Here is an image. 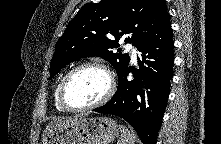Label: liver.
<instances>
[{
	"instance_id": "obj_1",
	"label": "liver",
	"mask_w": 221,
	"mask_h": 144,
	"mask_svg": "<svg viewBox=\"0 0 221 144\" xmlns=\"http://www.w3.org/2000/svg\"><path fill=\"white\" fill-rule=\"evenodd\" d=\"M82 118H83V116H74V117L67 118V119H58V120H55V121L49 123L47 125L46 129L44 130L43 135H42L43 142L45 141V139L47 137L52 136L58 130L63 129L64 127H67L70 124H73V123L81 120Z\"/></svg>"
}]
</instances>
